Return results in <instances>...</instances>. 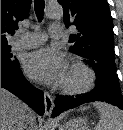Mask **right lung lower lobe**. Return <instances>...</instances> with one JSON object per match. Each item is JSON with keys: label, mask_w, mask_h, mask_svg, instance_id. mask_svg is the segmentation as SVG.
I'll use <instances>...</instances> for the list:
<instances>
[{"label": "right lung lower lobe", "mask_w": 123, "mask_h": 130, "mask_svg": "<svg viewBox=\"0 0 123 130\" xmlns=\"http://www.w3.org/2000/svg\"><path fill=\"white\" fill-rule=\"evenodd\" d=\"M1 87L19 97L39 115L42 116L44 114L43 92L35 88L24 77L20 69V64L13 66L1 62Z\"/></svg>", "instance_id": "98d812e1"}]
</instances>
